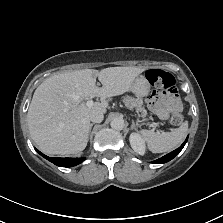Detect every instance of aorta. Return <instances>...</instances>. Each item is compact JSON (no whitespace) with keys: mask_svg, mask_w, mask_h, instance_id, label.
<instances>
[{"mask_svg":"<svg viewBox=\"0 0 223 223\" xmlns=\"http://www.w3.org/2000/svg\"><path fill=\"white\" fill-rule=\"evenodd\" d=\"M111 127L113 129H117V130H121L124 128V120L120 117H117V118H114L111 120V123H110Z\"/></svg>","mask_w":223,"mask_h":223,"instance_id":"1","label":"aorta"}]
</instances>
